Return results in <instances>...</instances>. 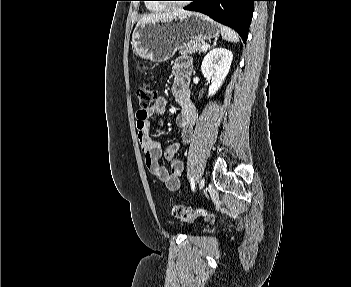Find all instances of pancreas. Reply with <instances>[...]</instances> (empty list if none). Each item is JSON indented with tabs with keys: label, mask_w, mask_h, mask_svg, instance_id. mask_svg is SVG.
I'll use <instances>...</instances> for the list:
<instances>
[{
	"label": "pancreas",
	"mask_w": 351,
	"mask_h": 287,
	"mask_svg": "<svg viewBox=\"0 0 351 287\" xmlns=\"http://www.w3.org/2000/svg\"><path fill=\"white\" fill-rule=\"evenodd\" d=\"M205 44L204 41L194 40L189 43L179 47V53L184 57L187 54H192L195 52H202V45Z\"/></svg>",
	"instance_id": "obj_1"
}]
</instances>
